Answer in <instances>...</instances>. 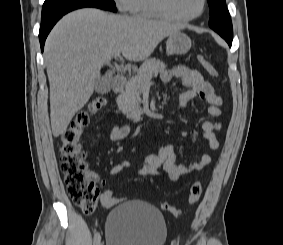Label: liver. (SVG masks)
Wrapping results in <instances>:
<instances>
[{"label":"liver","instance_id":"obj_1","mask_svg":"<svg viewBox=\"0 0 283 245\" xmlns=\"http://www.w3.org/2000/svg\"><path fill=\"white\" fill-rule=\"evenodd\" d=\"M180 25L141 17L80 9L64 16L49 34L44 50L50 84L54 137L89 101L104 64L120 52L129 61L147 59Z\"/></svg>","mask_w":283,"mask_h":245}]
</instances>
